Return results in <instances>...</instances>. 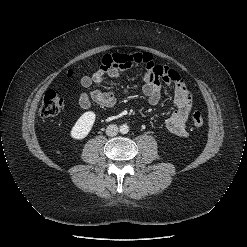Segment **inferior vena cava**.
Masks as SVG:
<instances>
[{
    "label": "inferior vena cava",
    "instance_id": "inferior-vena-cava-1",
    "mask_svg": "<svg viewBox=\"0 0 247 247\" xmlns=\"http://www.w3.org/2000/svg\"><path fill=\"white\" fill-rule=\"evenodd\" d=\"M118 127L114 124H110L107 128H106V134L110 137H113L115 135L118 134Z\"/></svg>",
    "mask_w": 247,
    "mask_h": 247
}]
</instances>
